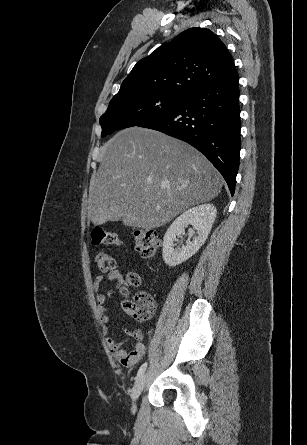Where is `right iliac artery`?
Masks as SVG:
<instances>
[{
	"label": "right iliac artery",
	"mask_w": 307,
	"mask_h": 445,
	"mask_svg": "<svg viewBox=\"0 0 307 445\" xmlns=\"http://www.w3.org/2000/svg\"><path fill=\"white\" fill-rule=\"evenodd\" d=\"M146 367H147L146 362L141 365V367L139 368L138 373H137V378L140 377L145 372Z\"/></svg>",
	"instance_id": "1"
}]
</instances>
